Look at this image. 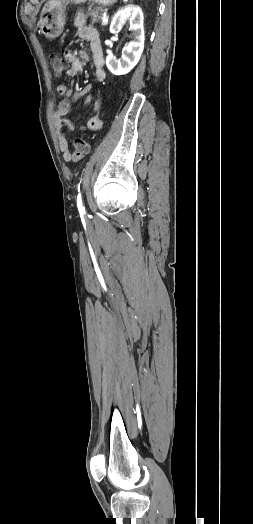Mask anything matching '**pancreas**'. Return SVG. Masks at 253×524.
Returning a JSON list of instances; mask_svg holds the SVG:
<instances>
[{"label":"pancreas","instance_id":"1","mask_svg":"<svg viewBox=\"0 0 253 524\" xmlns=\"http://www.w3.org/2000/svg\"><path fill=\"white\" fill-rule=\"evenodd\" d=\"M102 12V9L100 7H96L92 9L91 6L88 7V12L85 15V17L91 16L92 23H96L100 19V13ZM81 15V11H78L77 16Z\"/></svg>","mask_w":253,"mask_h":524}]
</instances>
